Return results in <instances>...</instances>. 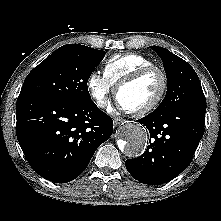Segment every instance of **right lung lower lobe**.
Returning a JSON list of instances; mask_svg holds the SVG:
<instances>
[{
	"label": "right lung lower lobe",
	"mask_w": 221,
	"mask_h": 221,
	"mask_svg": "<svg viewBox=\"0 0 221 221\" xmlns=\"http://www.w3.org/2000/svg\"><path fill=\"white\" fill-rule=\"evenodd\" d=\"M16 118L17 139L30 166L56 183L78 177L113 132L112 119L92 101L19 95Z\"/></svg>",
	"instance_id": "1"
}]
</instances>
